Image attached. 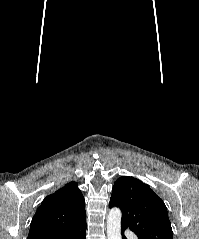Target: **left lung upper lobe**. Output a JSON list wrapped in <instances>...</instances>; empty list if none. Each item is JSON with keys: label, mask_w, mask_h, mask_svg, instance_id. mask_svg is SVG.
<instances>
[{"label": "left lung upper lobe", "mask_w": 199, "mask_h": 239, "mask_svg": "<svg viewBox=\"0 0 199 239\" xmlns=\"http://www.w3.org/2000/svg\"><path fill=\"white\" fill-rule=\"evenodd\" d=\"M109 207L121 209V226L139 239H173L164 202L142 181L120 177L113 186Z\"/></svg>", "instance_id": "left-lung-upper-lobe-1"}]
</instances>
